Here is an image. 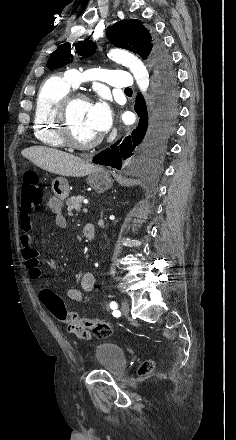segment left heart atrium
I'll use <instances>...</instances> for the list:
<instances>
[{
	"label": "left heart atrium",
	"instance_id": "left-heart-atrium-1",
	"mask_svg": "<svg viewBox=\"0 0 236 440\" xmlns=\"http://www.w3.org/2000/svg\"><path fill=\"white\" fill-rule=\"evenodd\" d=\"M90 119L98 133L106 132L111 124V111L105 101L91 104Z\"/></svg>",
	"mask_w": 236,
	"mask_h": 440
}]
</instances>
